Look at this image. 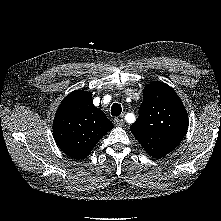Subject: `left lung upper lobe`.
I'll return each mask as SVG.
<instances>
[{
	"label": "left lung upper lobe",
	"instance_id": "left-lung-upper-lobe-1",
	"mask_svg": "<svg viewBox=\"0 0 221 221\" xmlns=\"http://www.w3.org/2000/svg\"><path fill=\"white\" fill-rule=\"evenodd\" d=\"M188 124L186 109L176 92L155 81L145 86L139 117L130 130L150 156L161 158L179 145Z\"/></svg>",
	"mask_w": 221,
	"mask_h": 221
}]
</instances>
